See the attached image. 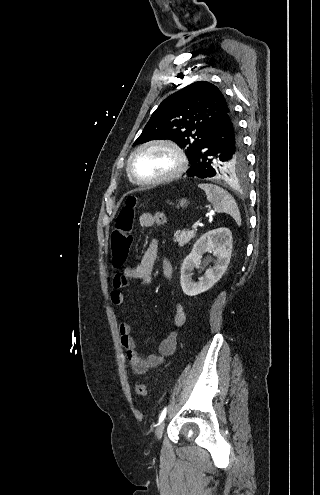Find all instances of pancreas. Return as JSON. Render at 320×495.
<instances>
[{"label": "pancreas", "instance_id": "1", "mask_svg": "<svg viewBox=\"0 0 320 495\" xmlns=\"http://www.w3.org/2000/svg\"><path fill=\"white\" fill-rule=\"evenodd\" d=\"M195 234V230L176 231L174 233V238L178 242L179 246L182 247L186 245L192 238H194Z\"/></svg>", "mask_w": 320, "mask_h": 495}]
</instances>
